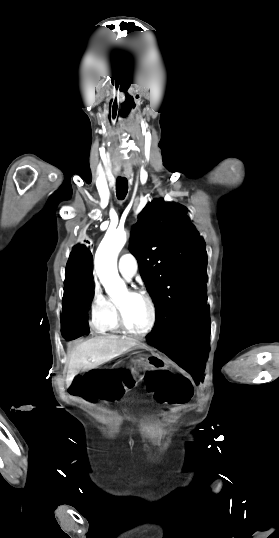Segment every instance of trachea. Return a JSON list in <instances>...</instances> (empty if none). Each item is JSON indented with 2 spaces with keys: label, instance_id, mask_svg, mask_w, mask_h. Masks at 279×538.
Segmentation results:
<instances>
[{
  "label": "trachea",
  "instance_id": "1",
  "mask_svg": "<svg viewBox=\"0 0 279 538\" xmlns=\"http://www.w3.org/2000/svg\"><path fill=\"white\" fill-rule=\"evenodd\" d=\"M128 192V181L125 177H118L116 180V195L119 200H124Z\"/></svg>",
  "mask_w": 279,
  "mask_h": 538
}]
</instances>
